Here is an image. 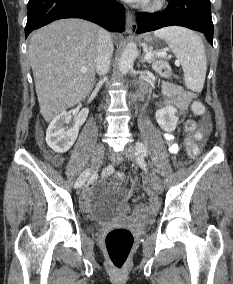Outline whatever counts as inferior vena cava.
Instances as JSON below:
<instances>
[{
	"mask_svg": "<svg viewBox=\"0 0 233 284\" xmlns=\"http://www.w3.org/2000/svg\"><path fill=\"white\" fill-rule=\"evenodd\" d=\"M98 56L96 71L99 76L105 75L110 68V58L113 54V42L111 35L104 29L98 31Z\"/></svg>",
	"mask_w": 233,
	"mask_h": 284,
	"instance_id": "obj_1",
	"label": "inferior vena cava"
}]
</instances>
